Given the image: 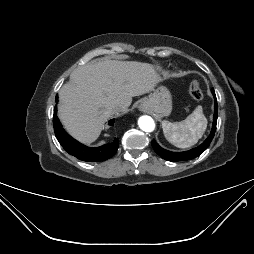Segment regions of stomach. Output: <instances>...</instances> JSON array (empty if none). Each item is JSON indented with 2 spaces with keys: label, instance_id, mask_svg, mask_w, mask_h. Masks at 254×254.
<instances>
[{
  "label": "stomach",
  "instance_id": "1",
  "mask_svg": "<svg viewBox=\"0 0 254 254\" xmlns=\"http://www.w3.org/2000/svg\"><path fill=\"white\" fill-rule=\"evenodd\" d=\"M141 109L152 112L157 118L170 115L172 111L170 91L164 86L154 89L149 97L143 99Z\"/></svg>",
  "mask_w": 254,
  "mask_h": 254
}]
</instances>
